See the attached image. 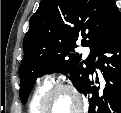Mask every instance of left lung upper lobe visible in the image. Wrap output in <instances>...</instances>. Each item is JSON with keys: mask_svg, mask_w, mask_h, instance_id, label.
I'll return each instance as SVG.
<instances>
[{"mask_svg": "<svg viewBox=\"0 0 121 113\" xmlns=\"http://www.w3.org/2000/svg\"><path fill=\"white\" fill-rule=\"evenodd\" d=\"M121 13L114 0H42L30 18L19 68L20 98L27 102L36 79L44 73H69L81 92L89 80L100 47L111 37ZM90 47L81 61L76 42Z\"/></svg>", "mask_w": 121, "mask_h": 113, "instance_id": "left-lung-upper-lobe-1", "label": "left lung upper lobe"}]
</instances>
